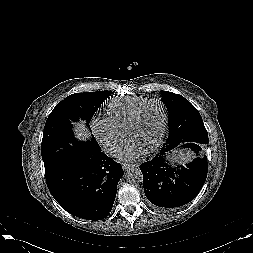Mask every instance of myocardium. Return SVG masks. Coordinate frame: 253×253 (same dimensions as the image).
<instances>
[{
	"instance_id": "myocardium-1",
	"label": "myocardium",
	"mask_w": 253,
	"mask_h": 253,
	"mask_svg": "<svg viewBox=\"0 0 253 253\" xmlns=\"http://www.w3.org/2000/svg\"><path fill=\"white\" fill-rule=\"evenodd\" d=\"M152 103H159L163 109V125H162V129H161V132L159 134V137L158 139L156 140V142L151 146L149 147L146 152L150 153V152H153L155 150H157L163 140H164V137L166 135V131H167V127H168V109H167V105L166 103L162 100V99H159V98H152V99H148L147 101H145L143 104H141L137 109L136 111L134 112L133 116L131 117L126 129H125V135L128 136L129 132L136 126L143 110L150 104Z\"/></svg>"
}]
</instances>
